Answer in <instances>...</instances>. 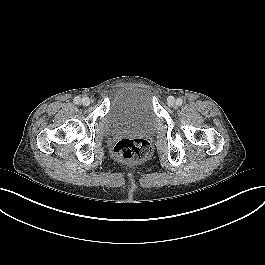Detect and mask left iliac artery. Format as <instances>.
<instances>
[{
    "mask_svg": "<svg viewBox=\"0 0 265 265\" xmlns=\"http://www.w3.org/2000/svg\"><path fill=\"white\" fill-rule=\"evenodd\" d=\"M182 103H183V100H182L181 98H178V99L176 100V105H177V106L182 105Z\"/></svg>",
    "mask_w": 265,
    "mask_h": 265,
    "instance_id": "1",
    "label": "left iliac artery"
}]
</instances>
